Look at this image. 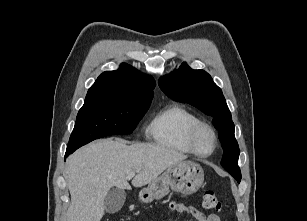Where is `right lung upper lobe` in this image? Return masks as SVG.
<instances>
[{"label":"right lung upper lobe","instance_id":"1","mask_svg":"<svg viewBox=\"0 0 307 221\" xmlns=\"http://www.w3.org/2000/svg\"><path fill=\"white\" fill-rule=\"evenodd\" d=\"M155 81L123 63L116 71L102 73L88 90L85 102L104 98H133L151 101Z\"/></svg>","mask_w":307,"mask_h":221}]
</instances>
